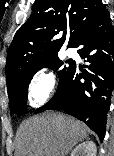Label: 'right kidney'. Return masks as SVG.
Segmentation results:
<instances>
[{
	"label": "right kidney",
	"mask_w": 114,
	"mask_h": 156,
	"mask_svg": "<svg viewBox=\"0 0 114 156\" xmlns=\"http://www.w3.org/2000/svg\"><path fill=\"white\" fill-rule=\"evenodd\" d=\"M97 148L93 141H86L72 151L71 156H96Z\"/></svg>",
	"instance_id": "obj_1"
}]
</instances>
